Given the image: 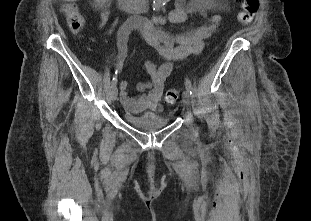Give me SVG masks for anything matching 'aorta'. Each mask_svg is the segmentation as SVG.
Segmentation results:
<instances>
[{"instance_id":"762f6f07","label":"aorta","mask_w":311,"mask_h":221,"mask_svg":"<svg viewBox=\"0 0 311 221\" xmlns=\"http://www.w3.org/2000/svg\"><path fill=\"white\" fill-rule=\"evenodd\" d=\"M164 0H154L153 2V8H156V10H159L161 6H163Z\"/></svg>"}]
</instances>
